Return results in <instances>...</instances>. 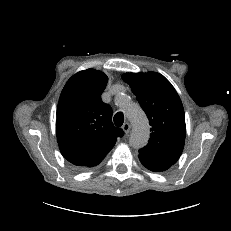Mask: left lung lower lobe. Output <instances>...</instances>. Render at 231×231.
Instances as JSON below:
<instances>
[{
    "instance_id": "left-lung-lower-lobe-1",
    "label": "left lung lower lobe",
    "mask_w": 231,
    "mask_h": 231,
    "mask_svg": "<svg viewBox=\"0 0 231 231\" xmlns=\"http://www.w3.org/2000/svg\"><path fill=\"white\" fill-rule=\"evenodd\" d=\"M139 159H140V162L142 163V165L144 167H146L147 169H149L151 171H154V172L165 171L170 167V166H167V165L150 163V162L144 160L143 158H141L140 156H139Z\"/></svg>"
}]
</instances>
